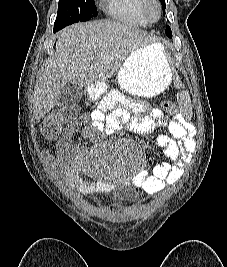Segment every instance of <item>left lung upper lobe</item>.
<instances>
[{
	"instance_id": "1",
	"label": "left lung upper lobe",
	"mask_w": 227,
	"mask_h": 267,
	"mask_svg": "<svg viewBox=\"0 0 227 267\" xmlns=\"http://www.w3.org/2000/svg\"><path fill=\"white\" fill-rule=\"evenodd\" d=\"M160 2H161V4H162V6H163V11H164V13H165V0H160ZM168 28V27H167Z\"/></svg>"
}]
</instances>
